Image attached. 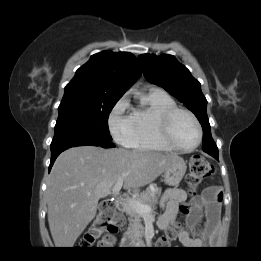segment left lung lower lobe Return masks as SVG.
<instances>
[{"label":"left lung lower lobe","instance_id":"left-lung-lower-lobe-1","mask_svg":"<svg viewBox=\"0 0 261 261\" xmlns=\"http://www.w3.org/2000/svg\"><path fill=\"white\" fill-rule=\"evenodd\" d=\"M205 152L208 153L209 155L213 156L216 160H219L218 159V153H213V152H209V151H205Z\"/></svg>","mask_w":261,"mask_h":261}]
</instances>
